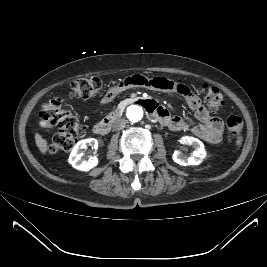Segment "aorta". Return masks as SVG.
I'll return each instance as SVG.
<instances>
[{"mask_svg":"<svg viewBox=\"0 0 267 267\" xmlns=\"http://www.w3.org/2000/svg\"><path fill=\"white\" fill-rule=\"evenodd\" d=\"M127 118L131 122H138L143 118V109L138 105H131L127 109Z\"/></svg>","mask_w":267,"mask_h":267,"instance_id":"762f6f07","label":"aorta"}]
</instances>
